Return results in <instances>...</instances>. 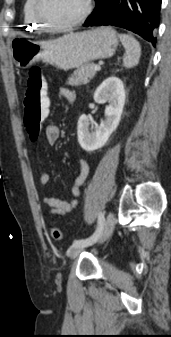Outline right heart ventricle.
I'll return each instance as SVG.
<instances>
[{"label": "right heart ventricle", "mask_w": 171, "mask_h": 337, "mask_svg": "<svg viewBox=\"0 0 171 337\" xmlns=\"http://www.w3.org/2000/svg\"><path fill=\"white\" fill-rule=\"evenodd\" d=\"M23 23L28 30L44 31L45 28L37 20L35 15V0H24L23 8Z\"/></svg>", "instance_id": "1"}]
</instances>
